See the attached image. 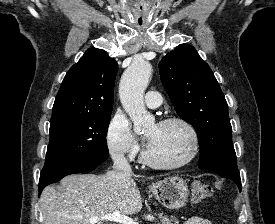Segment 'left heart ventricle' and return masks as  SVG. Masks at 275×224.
Masks as SVG:
<instances>
[{"label":"left heart ventricle","mask_w":275,"mask_h":224,"mask_svg":"<svg viewBox=\"0 0 275 224\" xmlns=\"http://www.w3.org/2000/svg\"><path fill=\"white\" fill-rule=\"evenodd\" d=\"M148 150L159 162L174 164L183 161L191 151V137L178 123L152 125L146 132Z\"/></svg>","instance_id":"b2bd125f"}]
</instances>
